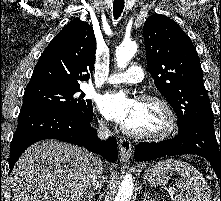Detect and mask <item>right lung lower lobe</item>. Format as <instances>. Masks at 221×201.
Returning a JSON list of instances; mask_svg holds the SVG:
<instances>
[{"label": "right lung lower lobe", "mask_w": 221, "mask_h": 201, "mask_svg": "<svg viewBox=\"0 0 221 201\" xmlns=\"http://www.w3.org/2000/svg\"><path fill=\"white\" fill-rule=\"evenodd\" d=\"M93 113L79 116L73 113L42 107H28L20 111L18 126L10 147V172L24 150L37 141L57 139L69 142L103 156L109 162L118 158L114 137L101 141L92 128Z\"/></svg>", "instance_id": "right-lung-lower-lobe-1"}]
</instances>
